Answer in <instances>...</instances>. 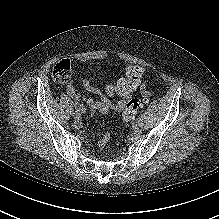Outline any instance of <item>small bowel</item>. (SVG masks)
<instances>
[{
  "label": "small bowel",
  "instance_id": "c3829d8e",
  "mask_svg": "<svg viewBox=\"0 0 219 219\" xmlns=\"http://www.w3.org/2000/svg\"><path fill=\"white\" fill-rule=\"evenodd\" d=\"M82 84L83 86L88 90V91H91V92H95V89L93 88L91 82L89 80H83L82 81ZM66 92L67 94L73 98V99H76V100H82L85 104H87L92 110H97V111H101L100 108H101V104L103 103L104 101V98H101L100 100H94L90 97H87L85 95H81L76 89L75 87L73 86V84L70 82L68 83V85L66 86ZM143 95L145 97H149L150 96V92L148 90L145 89V87L143 86ZM126 100V99H125ZM122 101L120 102L117 106H115V109L116 110H120L121 109V106L123 105V103L125 102Z\"/></svg>",
  "mask_w": 219,
  "mask_h": 219
}]
</instances>
